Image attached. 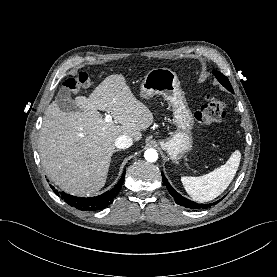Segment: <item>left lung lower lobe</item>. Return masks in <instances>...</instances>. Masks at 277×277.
<instances>
[{
    "mask_svg": "<svg viewBox=\"0 0 277 277\" xmlns=\"http://www.w3.org/2000/svg\"><path fill=\"white\" fill-rule=\"evenodd\" d=\"M162 179L164 184L166 185L169 193L174 197L175 202L180 205V206H184L186 208H190V209H204V208H208L216 203H218L220 200L212 203V204H197L195 202H192L190 200H188L187 198L181 196L179 193H177L172 187L171 185L168 183L166 177L164 176V174L162 173Z\"/></svg>",
    "mask_w": 277,
    "mask_h": 277,
    "instance_id": "0a47b994",
    "label": "left lung lower lobe"
}]
</instances>
